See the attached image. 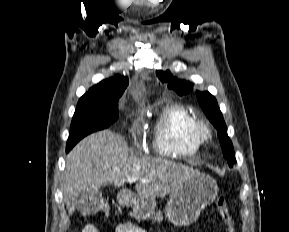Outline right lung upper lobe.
I'll list each match as a JSON object with an SVG mask.
<instances>
[{"label":"right lung upper lobe","mask_w":289,"mask_h":232,"mask_svg":"<svg viewBox=\"0 0 289 232\" xmlns=\"http://www.w3.org/2000/svg\"><path fill=\"white\" fill-rule=\"evenodd\" d=\"M128 85L126 77H114L93 86L81 98H117L123 94Z\"/></svg>","instance_id":"cb5924a9"}]
</instances>
